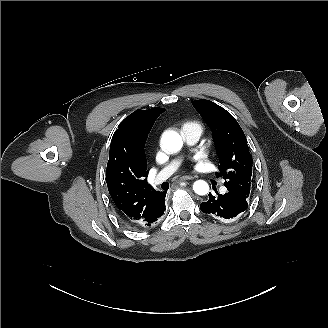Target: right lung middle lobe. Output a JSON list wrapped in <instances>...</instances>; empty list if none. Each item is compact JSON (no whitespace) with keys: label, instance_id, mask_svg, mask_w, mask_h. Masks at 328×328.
Here are the masks:
<instances>
[{"label":"right lung middle lobe","instance_id":"dd1d6c3e","mask_svg":"<svg viewBox=\"0 0 328 328\" xmlns=\"http://www.w3.org/2000/svg\"><path fill=\"white\" fill-rule=\"evenodd\" d=\"M152 128V126H150V128H149V130H148V132L150 131V129ZM147 135H148V133H147Z\"/></svg>","mask_w":328,"mask_h":328}]
</instances>
